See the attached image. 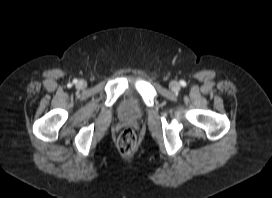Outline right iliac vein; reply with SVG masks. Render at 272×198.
<instances>
[{
	"label": "right iliac vein",
	"mask_w": 272,
	"mask_h": 198,
	"mask_svg": "<svg viewBox=\"0 0 272 198\" xmlns=\"http://www.w3.org/2000/svg\"><path fill=\"white\" fill-rule=\"evenodd\" d=\"M77 85H78V87L82 88L86 85V83L84 81H79Z\"/></svg>",
	"instance_id": "right-iliac-vein-1"
}]
</instances>
